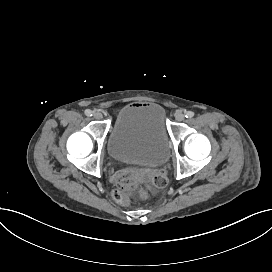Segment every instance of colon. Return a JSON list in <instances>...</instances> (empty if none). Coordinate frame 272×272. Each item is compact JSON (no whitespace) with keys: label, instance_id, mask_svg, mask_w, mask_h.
<instances>
[{"label":"colon","instance_id":"1","mask_svg":"<svg viewBox=\"0 0 272 272\" xmlns=\"http://www.w3.org/2000/svg\"><path fill=\"white\" fill-rule=\"evenodd\" d=\"M116 192L115 199L120 204H128L133 197L138 202H145L150 197V190L145 185L137 184V176L132 171H125L115 177ZM167 183V174L165 172L157 173L153 176V184L157 187L165 186Z\"/></svg>","mask_w":272,"mask_h":272}]
</instances>
